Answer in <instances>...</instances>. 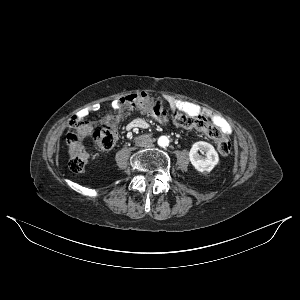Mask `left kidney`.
<instances>
[{
  "label": "left kidney",
  "instance_id": "left-kidney-1",
  "mask_svg": "<svg viewBox=\"0 0 300 300\" xmlns=\"http://www.w3.org/2000/svg\"><path fill=\"white\" fill-rule=\"evenodd\" d=\"M205 153V158H202L198 152ZM191 164L199 172H210L219 162V156L215 148L207 142H195L189 152Z\"/></svg>",
  "mask_w": 300,
  "mask_h": 300
}]
</instances>
